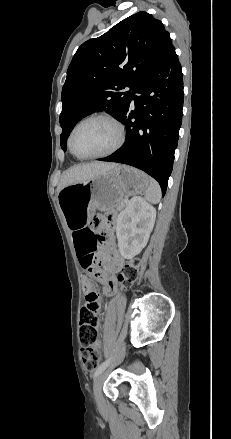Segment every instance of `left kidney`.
<instances>
[{
	"instance_id": "1",
	"label": "left kidney",
	"mask_w": 231,
	"mask_h": 439,
	"mask_svg": "<svg viewBox=\"0 0 231 439\" xmlns=\"http://www.w3.org/2000/svg\"><path fill=\"white\" fill-rule=\"evenodd\" d=\"M156 209L141 197H133L117 217L116 235L120 254L132 259L147 245Z\"/></svg>"
}]
</instances>
